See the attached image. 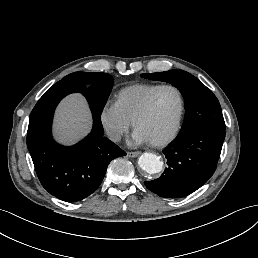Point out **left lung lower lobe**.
Wrapping results in <instances>:
<instances>
[{"instance_id": "0a47b994", "label": "left lung lower lobe", "mask_w": 258, "mask_h": 258, "mask_svg": "<svg viewBox=\"0 0 258 258\" xmlns=\"http://www.w3.org/2000/svg\"><path fill=\"white\" fill-rule=\"evenodd\" d=\"M225 129L200 128L176 138L163 150L168 167L145 186L164 198H183L203 186L216 170Z\"/></svg>"}]
</instances>
